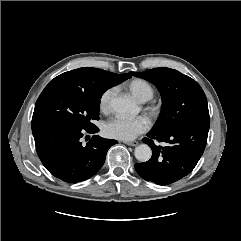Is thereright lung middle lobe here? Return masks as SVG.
Returning <instances> with one entry per match:
<instances>
[{
	"label": "right lung middle lobe",
	"instance_id": "right-lung-middle-lobe-1",
	"mask_svg": "<svg viewBox=\"0 0 241 241\" xmlns=\"http://www.w3.org/2000/svg\"><path fill=\"white\" fill-rule=\"evenodd\" d=\"M110 85L84 90L64 83H49L37 99L32 130L49 125H70L84 130L95 127L99 119L102 94Z\"/></svg>",
	"mask_w": 241,
	"mask_h": 241
}]
</instances>
